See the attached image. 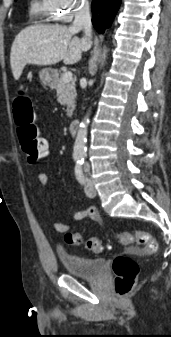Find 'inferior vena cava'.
<instances>
[{"instance_id": "1", "label": "inferior vena cava", "mask_w": 171, "mask_h": 337, "mask_svg": "<svg viewBox=\"0 0 171 337\" xmlns=\"http://www.w3.org/2000/svg\"><path fill=\"white\" fill-rule=\"evenodd\" d=\"M72 27L76 29H83L85 33V39H90L92 32V23L89 4L87 2L77 4L75 10V19Z\"/></svg>"}]
</instances>
